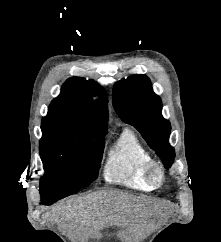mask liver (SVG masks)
I'll return each instance as SVG.
<instances>
[{"mask_svg":"<svg viewBox=\"0 0 221 242\" xmlns=\"http://www.w3.org/2000/svg\"><path fill=\"white\" fill-rule=\"evenodd\" d=\"M157 205L118 191H99L81 198H68L54 206L48 216L72 242H84L109 225L138 227Z\"/></svg>","mask_w":221,"mask_h":242,"instance_id":"liver-1","label":"liver"}]
</instances>
